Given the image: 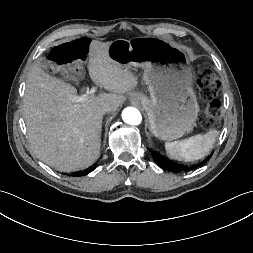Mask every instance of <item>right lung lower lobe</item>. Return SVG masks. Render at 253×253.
<instances>
[{"mask_svg":"<svg viewBox=\"0 0 253 253\" xmlns=\"http://www.w3.org/2000/svg\"><path fill=\"white\" fill-rule=\"evenodd\" d=\"M95 169V167H92V168H90L88 171H86V172H81V173H75L73 176H83V175H86V174H88V173H90L92 170H94Z\"/></svg>","mask_w":253,"mask_h":253,"instance_id":"obj_1","label":"right lung lower lobe"}]
</instances>
